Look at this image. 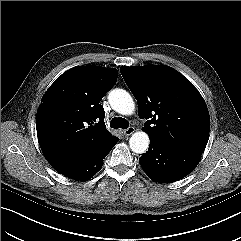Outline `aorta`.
<instances>
[{
    "instance_id": "obj_1",
    "label": "aorta",
    "mask_w": 241,
    "mask_h": 241,
    "mask_svg": "<svg viewBox=\"0 0 241 241\" xmlns=\"http://www.w3.org/2000/svg\"><path fill=\"white\" fill-rule=\"evenodd\" d=\"M111 107L122 115H131L135 109V103L131 95L123 89H113L108 95ZM149 136L146 132H135L130 140V149L137 154H143L149 147Z\"/></svg>"
}]
</instances>
